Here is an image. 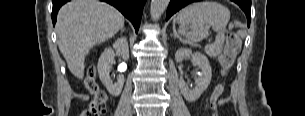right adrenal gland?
Listing matches in <instances>:
<instances>
[{"label": "right adrenal gland", "instance_id": "1", "mask_svg": "<svg viewBox=\"0 0 305 116\" xmlns=\"http://www.w3.org/2000/svg\"><path fill=\"white\" fill-rule=\"evenodd\" d=\"M124 30H125V28H121V33H123V32H124Z\"/></svg>", "mask_w": 305, "mask_h": 116}]
</instances>
